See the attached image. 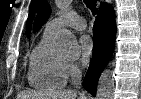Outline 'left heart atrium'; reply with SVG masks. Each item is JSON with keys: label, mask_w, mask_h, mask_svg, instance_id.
I'll return each instance as SVG.
<instances>
[{"label": "left heart atrium", "mask_w": 141, "mask_h": 99, "mask_svg": "<svg viewBox=\"0 0 141 99\" xmlns=\"http://www.w3.org/2000/svg\"><path fill=\"white\" fill-rule=\"evenodd\" d=\"M94 50V41L90 35H82L79 38V51H80V58L82 61L88 60Z\"/></svg>", "instance_id": "left-heart-atrium-1"}]
</instances>
